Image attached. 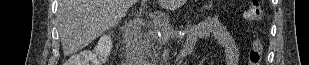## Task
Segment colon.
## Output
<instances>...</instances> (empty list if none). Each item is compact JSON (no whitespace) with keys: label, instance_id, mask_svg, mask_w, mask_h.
Segmentation results:
<instances>
[{"label":"colon","instance_id":"5ec220e1","mask_svg":"<svg viewBox=\"0 0 309 65\" xmlns=\"http://www.w3.org/2000/svg\"><path fill=\"white\" fill-rule=\"evenodd\" d=\"M264 11L259 1H252L245 12L246 19L251 22L260 21L263 18ZM112 39L104 37L99 39L93 50H83L75 58L72 63L76 65H98L104 61L111 53ZM263 52V42L259 38L252 41L248 52V64L260 65Z\"/></svg>","mask_w":309,"mask_h":65}]
</instances>
